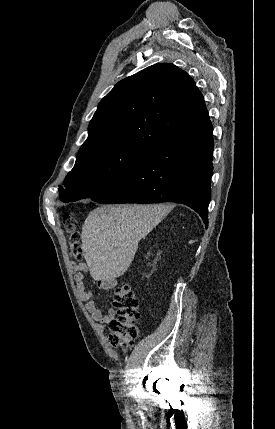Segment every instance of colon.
Masks as SVG:
<instances>
[{"mask_svg": "<svg viewBox=\"0 0 275 429\" xmlns=\"http://www.w3.org/2000/svg\"><path fill=\"white\" fill-rule=\"evenodd\" d=\"M62 219L70 237V255L72 259L79 261L82 257V248L75 232V220L69 213H64ZM113 306L117 311V317L110 323L109 340L113 346L127 350L131 347L133 339L138 336L136 321L139 318V302L128 284H122L115 289Z\"/></svg>", "mask_w": 275, "mask_h": 429, "instance_id": "colon-1", "label": "colon"}]
</instances>
